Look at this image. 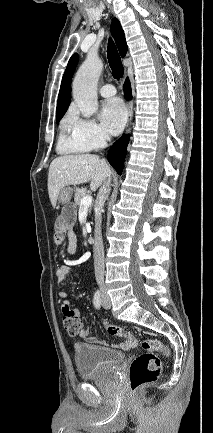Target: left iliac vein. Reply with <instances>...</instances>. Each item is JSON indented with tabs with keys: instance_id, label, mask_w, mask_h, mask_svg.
<instances>
[{
	"instance_id": "4c4485c4",
	"label": "left iliac vein",
	"mask_w": 213,
	"mask_h": 433,
	"mask_svg": "<svg viewBox=\"0 0 213 433\" xmlns=\"http://www.w3.org/2000/svg\"><path fill=\"white\" fill-rule=\"evenodd\" d=\"M102 305L105 309H109L111 307V301L106 292L102 294Z\"/></svg>"
}]
</instances>
